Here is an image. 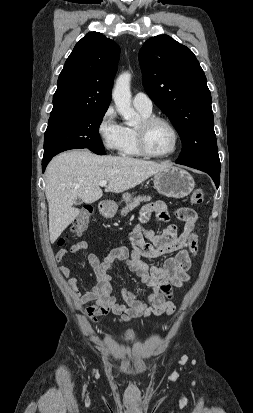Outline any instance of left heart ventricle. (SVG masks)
I'll return each instance as SVG.
<instances>
[{"mask_svg": "<svg viewBox=\"0 0 253 413\" xmlns=\"http://www.w3.org/2000/svg\"><path fill=\"white\" fill-rule=\"evenodd\" d=\"M174 142V136L170 128L161 122L154 123L147 131V143L154 153L168 152Z\"/></svg>", "mask_w": 253, "mask_h": 413, "instance_id": "b2bd125f", "label": "left heart ventricle"}]
</instances>
